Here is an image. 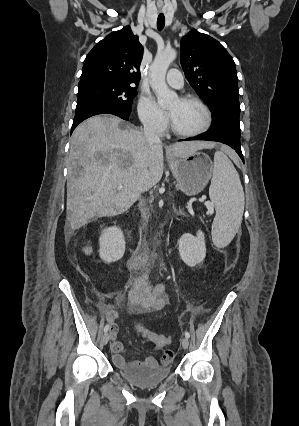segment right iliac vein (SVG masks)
Here are the masks:
<instances>
[{
  "instance_id": "obj_1",
  "label": "right iliac vein",
  "mask_w": 299,
  "mask_h": 426,
  "mask_svg": "<svg viewBox=\"0 0 299 426\" xmlns=\"http://www.w3.org/2000/svg\"><path fill=\"white\" fill-rule=\"evenodd\" d=\"M110 338H111V334L105 333L104 336H103V338H102L103 344H107L108 341L110 340Z\"/></svg>"
}]
</instances>
